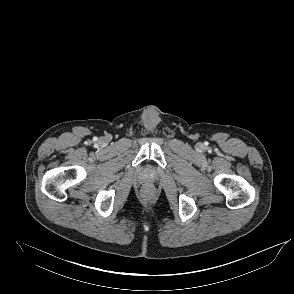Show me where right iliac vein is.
<instances>
[{
  "label": "right iliac vein",
  "instance_id": "63e3f726",
  "mask_svg": "<svg viewBox=\"0 0 294 294\" xmlns=\"http://www.w3.org/2000/svg\"><path fill=\"white\" fill-rule=\"evenodd\" d=\"M101 143H104L105 142V140L104 139H101V141H100Z\"/></svg>",
  "mask_w": 294,
  "mask_h": 294
}]
</instances>
